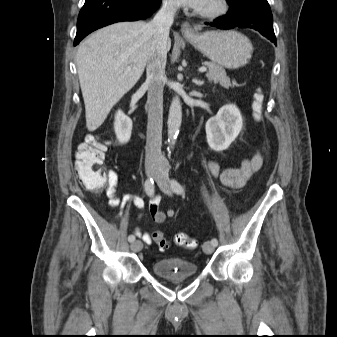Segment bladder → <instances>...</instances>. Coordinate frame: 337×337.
Wrapping results in <instances>:
<instances>
[{"instance_id": "bladder-1", "label": "bladder", "mask_w": 337, "mask_h": 337, "mask_svg": "<svg viewBox=\"0 0 337 337\" xmlns=\"http://www.w3.org/2000/svg\"><path fill=\"white\" fill-rule=\"evenodd\" d=\"M152 271L161 278L192 277L198 273V266L181 257H169L154 261Z\"/></svg>"}]
</instances>
